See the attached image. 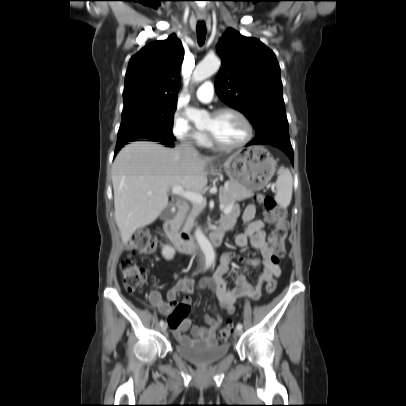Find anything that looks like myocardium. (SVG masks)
<instances>
[{"mask_svg": "<svg viewBox=\"0 0 406 406\" xmlns=\"http://www.w3.org/2000/svg\"><path fill=\"white\" fill-rule=\"evenodd\" d=\"M224 113H233L241 119V121L244 123V125L246 127L245 137L236 144H225V143L221 142L212 132L205 130V132L208 136V139L210 140V142L213 145H215L216 147L223 149V150H234V149H238V148L245 146L247 143H249L251 141L253 134H254L253 126H252L250 120L247 118V116L242 111H240L239 109H237L235 107L219 108L212 113V116H219Z\"/></svg>", "mask_w": 406, "mask_h": 406, "instance_id": "f54148a6", "label": "myocardium"}]
</instances>
